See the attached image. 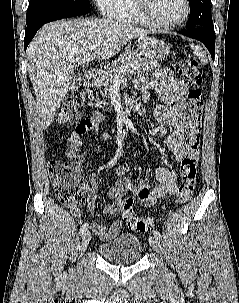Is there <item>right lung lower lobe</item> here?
<instances>
[{
	"label": "right lung lower lobe",
	"mask_w": 239,
	"mask_h": 303,
	"mask_svg": "<svg viewBox=\"0 0 239 303\" xmlns=\"http://www.w3.org/2000/svg\"><path fill=\"white\" fill-rule=\"evenodd\" d=\"M90 8H60V9H45L39 12H35L30 16H26V32L24 38V48L26 50L28 44L35 36L37 30L44 24L59 20L62 18H68L72 16L84 15L90 12Z\"/></svg>",
	"instance_id": "obj_1"
}]
</instances>
